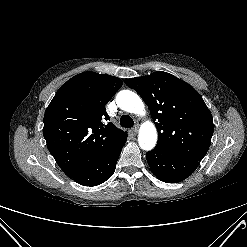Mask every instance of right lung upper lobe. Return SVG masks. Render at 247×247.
<instances>
[{"label":"right lung upper lobe","instance_id":"obj_1","mask_svg":"<svg viewBox=\"0 0 247 247\" xmlns=\"http://www.w3.org/2000/svg\"><path fill=\"white\" fill-rule=\"evenodd\" d=\"M123 82L114 76L80 73L64 83L44 115L47 148L69 177L85 171L126 135L109 119L105 105Z\"/></svg>","mask_w":247,"mask_h":247}]
</instances>
